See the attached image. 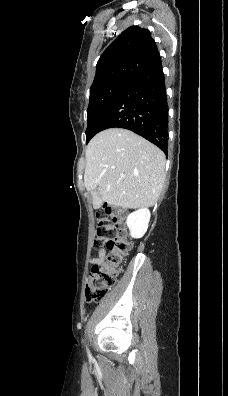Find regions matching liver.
Returning a JSON list of instances; mask_svg holds the SVG:
<instances>
[{
	"instance_id": "6515ba94",
	"label": "liver",
	"mask_w": 228,
	"mask_h": 396,
	"mask_svg": "<svg viewBox=\"0 0 228 396\" xmlns=\"http://www.w3.org/2000/svg\"><path fill=\"white\" fill-rule=\"evenodd\" d=\"M164 181V153L132 131L107 129L87 145L84 184L96 209L103 202L129 209L151 207Z\"/></svg>"
}]
</instances>
